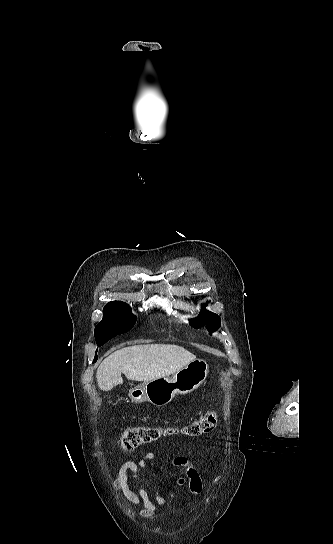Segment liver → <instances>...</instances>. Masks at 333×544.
<instances>
[{
    "label": "liver",
    "instance_id": "1",
    "mask_svg": "<svg viewBox=\"0 0 333 544\" xmlns=\"http://www.w3.org/2000/svg\"><path fill=\"white\" fill-rule=\"evenodd\" d=\"M196 356L173 344H145L121 348L99 365L96 379L99 389L109 391L122 384L123 373L129 380L148 382L175 374Z\"/></svg>",
    "mask_w": 333,
    "mask_h": 544
}]
</instances>
